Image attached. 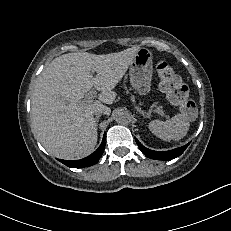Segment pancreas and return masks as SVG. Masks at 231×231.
<instances>
[{"instance_id": "obj_1", "label": "pancreas", "mask_w": 231, "mask_h": 231, "mask_svg": "<svg viewBox=\"0 0 231 231\" xmlns=\"http://www.w3.org/2000/svg\"><path fill=\"white\" fill-rule=\"evenodd\" d=\"M158 112L161 114V115H164V112L162 110H158Z\"/></svg>"}]
</instances>
